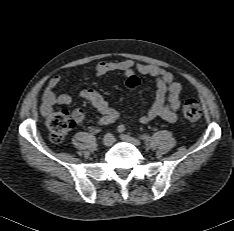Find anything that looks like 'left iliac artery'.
<instances>
[{"label": "left iliac artery", "instance_id": "44dca946", "mask_svg": "<svg viewBox=\"0 0 234 231\" xmlns=\"http://www.w3.org/2000/svg\"><path fill=\"white\" fill-rule=\"evenodd\" d=\"M117 130H118V132H124L126 130V128L124 125H119ZM139 138L147 141V140H149L150 136L148 134H144V135H140Z\"/></svg>", "mask_w": 234, "mask_h": 231}]
</instances>
